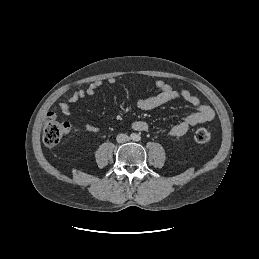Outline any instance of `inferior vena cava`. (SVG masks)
Here are the masks:
<instances>
[{
	"mask_svg": "<svg viewBox=\"0 0 259 259\" xmlns=\"http://www.w3.org/2000/svg\"><path fill=\"white\" fill-rule=\"evenodd\" d=\"M116 140L118 143H125V142L129 141V136L126 134H119V135H117Z\"/></svg>",
	"mask_w": 259,
	"mask_h": 259,
	"instance_id": "1",
	"label": "inferior vena cava"
}]
</instances>
